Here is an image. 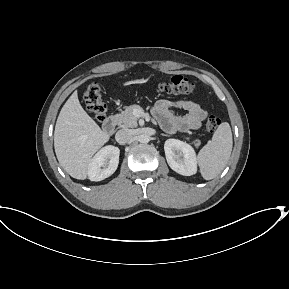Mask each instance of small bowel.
Returning <instances> with one entry per match:
<instances>
[{
    "mask_svg": "<svg viewBox=\"0 0 289 289\" xmlns=\"http://www.w3.org/2000/svg\"><path fill=\"white\" fill-rule=\"evenodd\" d=\"M171 108L184 110L187 114L176 115ZM152 114L161 127L169 133L198 129L207 116V112L199 103L190 99L174 101L161 99L154 105Z\"/></svg>",
    "mask_w": 289,
    "mask_h": 289,
    "instance_id": "obj_1",
    "label": "small bowel"
}]
</instances>
